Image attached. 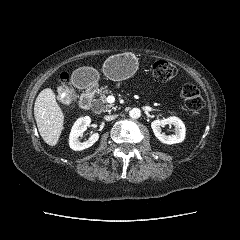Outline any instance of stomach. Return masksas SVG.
Here are the masks:
<instances>
[{"label": "stomach", "mask_w": 240, "mask_h": 240, "mask_svg": "<svg viewBox=\"0 0 240 240\" xmlns=\"http://www.w3.org/2000/svg\"><path fill=\"white\" fill-rule=\"evenodd\" d=\"M137 58L128 52L111 56L103 65L102 71L104 75L113 81H121L131 77L137 70ZM76 73L84 74L87 80L94 78L95 72L90 68H80Z\"/></svg>", "instance_id": "obj_1"}]
</instances>
